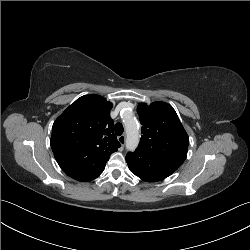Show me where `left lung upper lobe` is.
Listing matches in <instances>:
<instances>
[{
	"label": "left lung upper lobe",
	"instance_id": "1",
	"mask_svg": "<svg viewBox=\"0 0 250 250\" xmlns=\"http://www.w3.org/2000/svg\"><path fill=\"white\" fill-rule=\"evenodd\" d=\"M137 113L143 135L136 151L126 155V161L132 160V154H138L157 167L175 172L185 161L189 145V137L175 110L165 102L140 103Z\"/></svg>",
	"mask_w": 250,
	"mask_h": 250
}]
</instances>
